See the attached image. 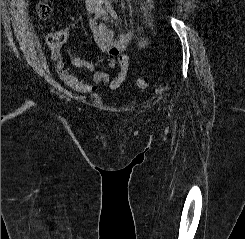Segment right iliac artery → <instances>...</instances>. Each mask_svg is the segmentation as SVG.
<instances>
[{"mask_svg": "<svg viewBox=\"0 0 245 239\" xmlns=\"http://www.w3.org/2000/svg\"><path fill=\"white\" fill-rule=\"evenodd\" d=\"M99 18V14H95V17H94V19H93V21H95L96 19H98Z\"/></svg>", "mask_w": 245, "mask_h": 239, "instance_id": "obj_1", "label": "right iliac artery"}]
</instances>
